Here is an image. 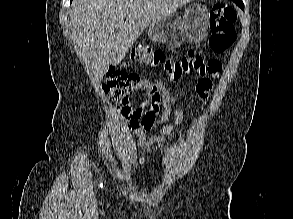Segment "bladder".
Segmentation results:
<instances>
[{"instance_id":"bladder-1","label":"bladder","mask_w":293,"mask_h":219,"mask_svg":"<svg viewBox=\"0 0 293 219\" xmlns=\"http://www.w3.org/2000/svg\"><path fill=\"white\" fill-rule=\"evenodd\" d=\"M136 181L138 182V184L147 187L150 183V186H152V182H149L148 178L146 175L142 174V173H138L136 175Z\"/></svg>"}]
</instances>
